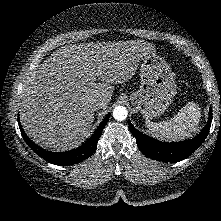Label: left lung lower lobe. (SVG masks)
Returning <instances> with one entry per match:
<instances>
[{
	"label": "left lung lower lobe",
	"instance_id": "left-lung-lower-lobe-1",
	"mask_svg": "<svg viewBox=\"0 0 221 221\" xmlns=\"http://www.w3.org/2000/svg\"><path fill=\"white\" fill-rule=\"evenodd\" d=\"M212 122V110H209V120L203 130L193 139L181 142H161L137 131L129 121V127L136 138L141 152L154 160L163 162H179L189 157L207 137Z\"/></svg>",
	"mask_w": 221,
	"mask_h": 221
}]
</instances>
